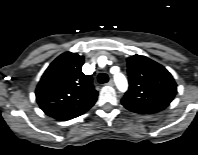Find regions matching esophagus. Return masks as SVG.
<instances>
[{
    "label": "esophagus",
    "instance_id": "esophagus-1",
    "mask_svg": "<svg viewBox=\"0 0 198 155\" xmlns=\"http://www.w3.org/2000/svg\"><path fill=\"white\" fill-rule=\"evenodd\" d=\"M108 86H113L114 85V81L113 80H110L108 83H107Z\"/></svg>",
    "mask_w": 198,
    "mask_h": 155
}]
</instances>
